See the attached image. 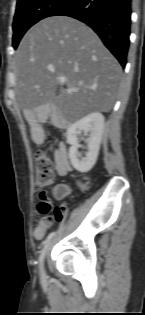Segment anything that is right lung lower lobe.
Wrapping results in <instances>:
<instances>
[{"instance_id": "right-lung-lower-lobe-1", "label": "right lung lower lobe", "mask_w": 145, "mask_h": 315, "mask_svg": "<svg viewBox=\"0 0 145 315\" xmlns=\"http://www.w3.org/2000/svg\"><path fill=\"white\" fill-rule=\"evenodd\" d=\"M65 15L89 25L125 67L129 49L131 0H69L51 16Z\"/></svg>"}]
</instances>
